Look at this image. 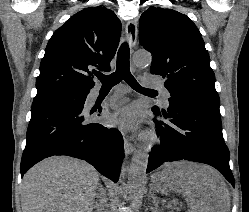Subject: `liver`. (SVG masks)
<instances>
[{"mask_svg":"<svg viewBox=\"0 0 249 212\" xmlns=\"http://www.w3.org/2000/svg\"><path fill=\"white\" fill-rule=\"evenodd\" d=\"M99 174L93 166L68 156L42 160L25 174L22 212H93ZM151 188L168 196L167 190L183 194L188 212H231L227 184L214 168L195 162L166 164L153 174Z\"/></svg>","mask_w":249,"mask_h":212,"instance_id":"liver-1","label":"liver"}]
</instances>
